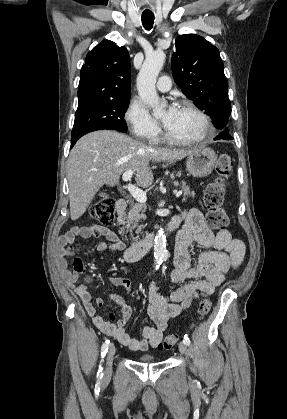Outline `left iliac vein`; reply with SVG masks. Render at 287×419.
<instances>
[{"label": "left iliac vein", "mask_w": 287, "mask_h": 419, "mask_svg": "<svg viewBox=\"0 0 287 419\" xmlns=\"http://www.w3.org/2000/svg\"><path fill=\"white\" fill-rule=\"evenodd\" d=\"M179 351L182 354H186L187 353V345L185 344V342H180L179 343Z\"/></svg>", "instance_id": "obj_1"}]
</instances>
